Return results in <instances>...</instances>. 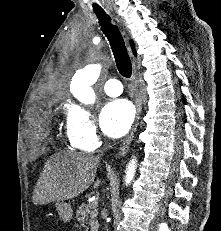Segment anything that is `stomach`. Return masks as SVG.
Here are the masks:
<instances>
[{
  "label": "stomach",
  "mask_w": 221,
  "mask_h": 231,
  "mask_svg": "<svg viewBox=\"0 0 221 231\" xmlns=\"http://www.w3.org/2000/svg\"><path fill=\"white\" fill-rule=\"evenodd\" d=\"M55 207L59 214V217L64 222H69L72 219L73 209L69 203H66L64 201H57L55 203Z\"/></svg>",
  "instance_id": "obj_1"
}]
</instances>
